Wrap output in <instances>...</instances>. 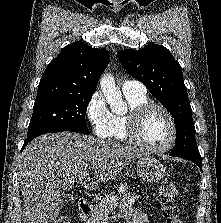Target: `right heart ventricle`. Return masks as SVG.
<instances>
[{"label":"right heart ventricle","mask_w":221,"mask_h":223,"mask_svg":"<svg viewBox=\"0 0 221 223\" xmlns=\"http://www.w3.org/2000/svg\"><path fill=\"white\" fill-rule=\"evenodd\" d=\"M124 95L130 106V111L141 104L149 102V99L146 93L145 94H124ZM129 113L125 115L113 114L111 116L112 129H111V134L109 137L113 141H116V142L128 141L126 127L128 123Z\"/></svg>","instance_id":"right-heart-ventricle-1"}]
</instances>
